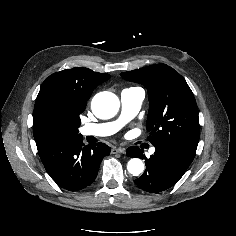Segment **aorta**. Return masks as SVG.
<instances>
[{
    "mask_svg": "<svg viewBox=\"0 0 236 236\" xmlns=\"http://www.w3.org/2000/svg\"><path fill=\"white\" fill-rule=\"evenodd\" d=\"M118 97L111 92H100L92 100V111L101 119H109L115 116L119 110ZM127 170L133 176H138L144 170V164L139 158H132L127 164Z\"/></svg>",
    "mask_w": 236,
    "mask_h": 236,
    "instance_id": "1",
    "label": "aorta"
}]
</instances>
